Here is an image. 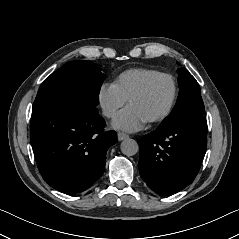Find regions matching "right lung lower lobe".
<instances>
[{"label": "right lung lower lobe", "instance_id": "obj_1", "mask_svg": "<svg viewBox=\"0 0 239 239\" xmlns=\"http://www.w3.org/2000/svg\"><path fill=\"white\" fill-rule=\"evenodd\" d=\"M104 126L96 106L78 99L57 101L32 116L30 141L48 185L76 194L103 174L106 152L117 142L116 132Z\"/></svg>", "mask_w": 239, "mask_h": 239}]
</instances>
